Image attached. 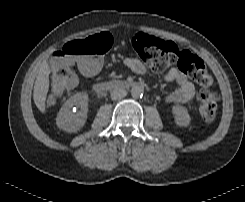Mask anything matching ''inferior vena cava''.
Listing matches in <instances>:
<instances>
[{"label": "inferior vena cava", "mask_w": 245, "mask_h": 202, "mask_svg": "<svg viewBox=\"0 0 245 202\" xmlns=\"http://www.w3.org/2000/svg\"><path fill=\"white\" fill-rule=\"evenodd\" d=\"M127 95V92L123 88H116L111 92V99L112 100H119L124 98Z\"/></svg>", "instance_id": "1"}]
</instances>
